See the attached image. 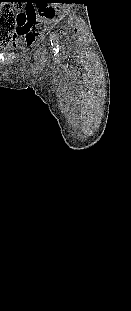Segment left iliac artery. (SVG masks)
Masks as SVG:
<instances>
[{
    "label": "left iliac artery",
    "instance_id": "1",
    "mask_svg": "<svg viewBox=\"0 0 131 311\" xmlns=\"http://www.w3.org/2000/svg\"><path fill=\"white\" fill-rule=\"evenodd\" d=\"M50 41H51V45L58 47V41H57V37L54 33L50 34Z\"/></svg>",
    "mask_w": 131,
    "mask_h": 311
}]
</instances>
